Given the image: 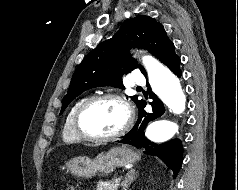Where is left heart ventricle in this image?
<instances>
[{"label": "left heart ventricle", "mask_w": 238, "mask_h": 190, "mask_svg": "<svg viewBox=\"0 0 238 190\" xmlns=\"http://www.w3.org/2000/svg\"><path fill=\"white\" fill-rule=\"evenodd\" d=\"M126 121V111L116 100H102L91 105L83 114L81 125L92 135H110Z\"/></svg>", "instance_id": "1"}]
</instances>
